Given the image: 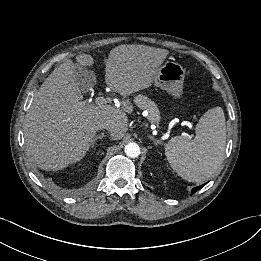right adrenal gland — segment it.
Returning a JSON list of instances; mask_svg holds the SVG:
<instances>
[{"instance_id": "2a0ac1e0", "label": "right adrenal gland", "mask_w": 261, "mask_h": 261, "mask_svg": "<svg viewBox=\"0 0 261 261\" xmlns=\"http://www.w3.org/2000/svg\"><path fill=\"white\" fill-rule=\"evenodd\" d=\"M103 137H104V133H101L100 135H96L95 137H94V139L92 140V147L94 146V144H95V142L98 140V139H103Z\"/></svg>"}]
</instances>
